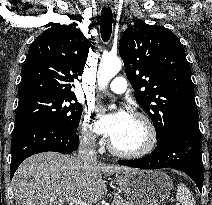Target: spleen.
Listing matches in <instances>:
<instances>
[{
    "mask_svg": "<svg viewBox=\"0 0 212 205\" xmlns=\"http://www.w3.org/2000/svg\"><path fill=\"white\" fill-rule=\"evenodd\" d=\"M177 200L181 205H195V200L192 194L183 183L178 185Z\"/></svg>",
    "mask_w": 212,
    "mask_h": 205,
    "instance_id": "obj_1",
    "label": "spleen"
}]
</instances>
